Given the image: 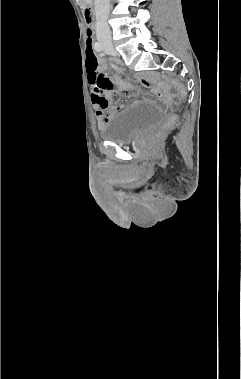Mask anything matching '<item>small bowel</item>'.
<instances>
[{
    "instance_id": "c3829d8e",
    "label": "small bowel",
    "mask_w": 241,
    "mask_h": 379,
    "mask_svg": "<svg viewBox=\"0 0 241 379\" xmlns=\"http://www.w3.org/2000/svg\"><path fill=\"white\" fill-rule=\"evenodd\" d=\"M88 35H89V37L91 38V41H92L91 31L87 32V39H88ZM100 74L103 77L109 79L104 74H102V73H100ZM89 83H91V82H89ZM114 83L120 89H122L124 91H130L132 89V85L130 83H127V82L123 81L119 77H115L114 78ZM140 83L144 87H148L149 86V81L146 80V79H144V78L140 79ZM110 91H111V89H107V90L104 91V93H108ZM104 93L102 94V96H99L95 92V90L92 89V102L94 104L95 113H96V116H97L100 124L105 123L109 119V117H110V112H109L108 109H109V104H110V102H111L112 99H111V96L109 94L104 95ZM168 93H170V92H168ZM170 94L172 96V93H170ZM122 108H123V106H118L117 107V109H122Z\"/></svg>"
}]
</instances>
